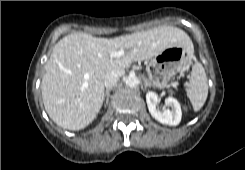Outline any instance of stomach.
<instances>
[{
	"label": "stomach",
	"instance_id": "stomach-1",
	"mask_svg": "<svg viewBox=\"0 0 245 170\" xmlns=\"http://www.w3.org/2000/svg\"><path fill=\"white\" fill-rule=\"evenodd\" d=\"M193 54L183 46H174L148 60L147 72L150 84L163 89L184 70Z\"/></svg>",
	"mask_w": 245,
	"mask_h": 170
}]
</instances>
